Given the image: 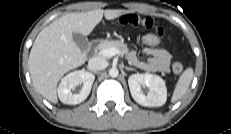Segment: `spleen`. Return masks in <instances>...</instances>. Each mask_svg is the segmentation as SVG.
Listing matches in <instances>:
<instances>
[{
  "label": "spleen",
  "instance_id": "1",
  "mask_svg": "<svg viewBox=\"0 0 231 134\" xmlns=\"http://www.w3.org/2000/svg\"><path fill=\"white\" fill-rule=\"evenodd\" d=\"M194 77L193 69L191 67L187 68L182 75L179 77L171 98V102H176L180 100L187 92L191 81Z\"/></svg>",
  "mask_w": 231,
  "mask_h": 134
}]
</instances>
